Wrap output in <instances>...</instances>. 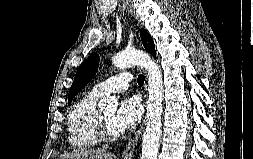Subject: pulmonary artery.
Masks as SVG:
<instances>
[{"instance_id":"pulmonary-artery-1","label":"pulmonary artery","mask_w":253,"mask_h":159,"mask_svg":"<svg viewBox=\"0 0 253 159\" xmlns=\"http://www.w3.org/2000/svg\"><path fill=\"white\" fill-rule=\"evenodd\" d=\"M130 80L131 75L129 72H121L95 84L91 91L100 96H105L113 92H121L128 89Z\"/></svg>"}]
</instances>
